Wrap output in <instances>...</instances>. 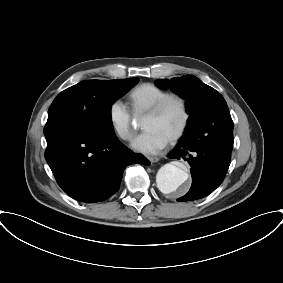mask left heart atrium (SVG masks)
Wrapping results in <instances>:
<instances>
[{
    "instance_id": "39dd6f15",
    "label": "left heart atrium",
    "mask_w": 283,
    "mask_h": 283,
    "mask_svg": "<svg viewBox=\"0 0 283 283\" xmlns=\"http://www.w3.org/2000/svg\"><path fill=\"white\" fill-rule=\"evenodd\" d=\"M167 142L168 139L160 133L154 130H146L133 140L132 147L144 154H155L164 148Z\"/></svg>"
}]
</instances>
